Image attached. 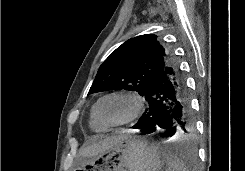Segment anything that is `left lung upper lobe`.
<instances>
[{
    "label": "left lung upper lobe",
    "mask_w": 245,
    "mask_h": 171,
    "mask_svg": "<svg viewBox=\"0 0 245 171\" xmlns=\"http://www.w3.org/2000/svg\"><path fill=\"white\" fill-rule=\"evenodd\" d=\"M171 60L170 53L154 34L131 38L100 66L89 94L113 89L137 91L144 96L150 83Z\"/></svg>",
    "instance_id": "left-lung-upper-lobe-1"
}]
</instances>
